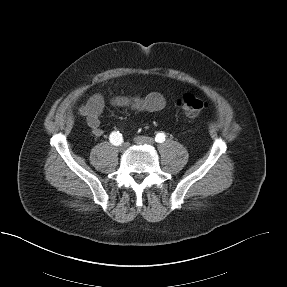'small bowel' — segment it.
<instances>
[{
    "label": "small bowel",
    "mask_w": 287,
    "mask_h": 287,
    "mask_svg": "<svg viewBox=\"0 0 287 287\" xmlns=\"http://www.w3.org/2000/svg\"><path fill=\"white\" fill-rule=\"evenodd\" d=\"M116 107L129 108L136 112H159L165 107L164 97L152 92L147 95L133 94L120 95L112 100ZM105 107V100L101 94H95L89 98L84 109L86 122L94 136L100 137L104 134L101 126V116Z\"/></svg>",
    "instance_id": "small-bowel-1"
}]
</instances>
